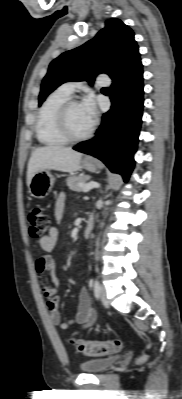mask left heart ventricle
Returning <instances> with one entry per match:
<instances>
[{
    "mask_svg": "<svg viewBox=\"0 0 182 399\" xmlns=\"http://www.w3.org/2000/svg\"><path fill=\"white\" fill-rule=\"evenodd\" d=\"M68 121L71 132L78 136L86 133L92 124L79 103L70 108Z\"/></svg>",
    "mask_w": 182,
    "mask_h": 399,
    "instance_id": "1",
    "label": "left heart ventricle"
}]
</instances>
